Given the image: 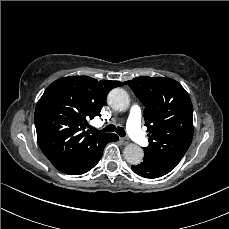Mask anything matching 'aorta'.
I'll list each match as a JSON object with an SVG mask.
<instances>
[{"instance_id":"1","label":"aorta","mask_w":229,"mask_h":229,"mask_svg":"<svg viewBox=\"0 0 229 229\" xmlns=\"http://www.w3.org/2000/svg\"><path fill=\"white\" fill-rule=\"evenodd\" d=\"M107 102L113 109L124 111L130 105V98L124 89L115 88L108 94ZM123 155L129 164L138 165L143 161L144 151L140 146L131 143L126 145Z\"/></svg>"}]
</instances>
